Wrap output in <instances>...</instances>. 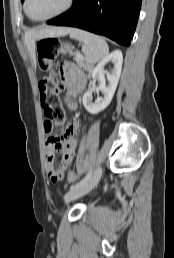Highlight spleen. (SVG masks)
I'll return each instance as SVG.
<instances>
[{"label":"spleen","instance_id":"3e777b00","mask_svg":"<svg viewBox=\"0 0 174 258\" xmlns=\"http://www.w3.org/2000/svg\"><path fill=\"white\" fill-rule=\"evenodd\" d=\"M69 35L72 39L83 42L82 50L89 64L102 60L109 53L108 44L103 37L77 28H71Z\"/></svg>","mask_w":174,"mask_h":258}]
</instances>
